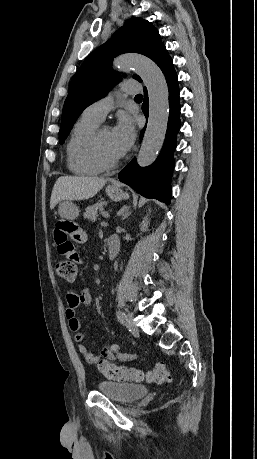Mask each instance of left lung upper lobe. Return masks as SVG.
I'll list each match as a JSON object with an SVG mask.
<instances>
[{
  "instance_id": "obj_1",
  "label": "left lung upper lobe",
  "mask_w": 257,
  "mask_h": 459,
  "mask_svg": "<svg viewBox=\"0 0 257 459\" xmlns=\"http://www.w3.org/2000/svg\"><path fill=\"white\" fill-rule=\"evenodd\" d=\"M136 52L152 59L157 65L168 55L155 27L147 20H128L106 43L93 51L72 78L65 100L59 141L63 144L83 110L104 97L121 76L111 67L119 54ZM142 81L137 75L133 76Z\"/></svg>"
}]
</instances>
